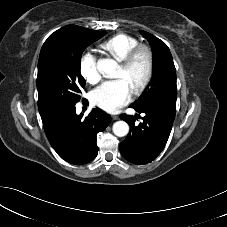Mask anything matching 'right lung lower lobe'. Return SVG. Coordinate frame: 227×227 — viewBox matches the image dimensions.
Segmentation results:
<instances>
[{
	"label": "right lung lower lobe",
	"mask_w": 227,
	"mask_h": 227,
	"mask_svg": "<svg viewBox=\"0 0 227 227\" xmlns=\"http://www.w3.org/2000/svg\"><path fill=\"white\" fill-rule=\"evenodd\" d=\"M83 105H88L84 99ZM83 110L87 107L83 106ZM44 131L54 150L69 163L82 165L97 156L96 135L111 121L110 115L99 108L87 117L76 113V105H67L41 114Z\"/></svg>",
	"instance_id": "right-lung-lower-lobe-1"
}]
</instances>
